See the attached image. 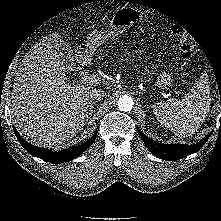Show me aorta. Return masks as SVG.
<instances>
[{"label":"aorta","instance_id":"762f6f07","mask_svg":"<svg viewBox=\"0 0 221 221\" xmlns=\"http://www.w3.org/2000/svg\"><path fill=\"white\" fill-rule=\"evenodd\" d=\"M134 102L132 98L128 95H123L118 100V108L123 112L131 111L133 108Z\"/></svg>","mask_w":221,"mask_h":221}]
</instances>
